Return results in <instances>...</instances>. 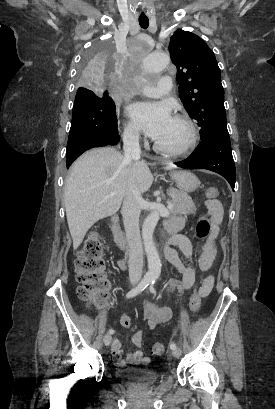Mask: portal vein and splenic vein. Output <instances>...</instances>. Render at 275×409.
I'll use <instances>...</instances> for the list:
<instances>
[{
	"label": "portal vein and splenic vein",
	"mask_w": 275,
	"mask_h": 409,
	"mask_svg": "<svg viewBox=\"0 0 275 409\" xmlns=\"http://www.w3.org/2000/svg\"><path fill=\"white\" fill-rule=\"evenodd\" d=\"M110 194H117V192H110ZM167 209H173L172 202H168Z\"/></svg>",
	"instance_id": "1"
}]
</instances>
